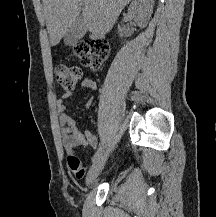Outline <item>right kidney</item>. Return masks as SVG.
<instances>
[{
  "instance_id": "right-kidney-1",
  "label": "right kidney",
  "mask_w": 216,
  "mask_h": 217,
  "mask_svg": "<svg viewBox=\"0 0 216 217\" xmlns=\"http://www.w3.org/2000/svg\"><path fill=\"white\" fill-rule=\"evenodd\" d=\"M154 0H133L130 4L127 17L134 19L135 23L144 28L151 18Z\"/></svg>"
}]
</instances>
